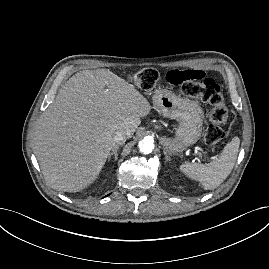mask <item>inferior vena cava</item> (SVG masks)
<instances>
[{"instance_id": "1", "label": "inferior vena cava", "mask_w": 269, "mask_h": 269, "mask_svg": "<svg viewBox=\"0 0 269 269\" xmlns=\"http://www.w3.org/2000/svg\"><path fill=\"white\" fill-rule=\"evenodd\" d=\"M128 133L124 130H118L115 132L113 137L114 141L117 143H124L128 138Z\"/></svg>"}]
</instances>
